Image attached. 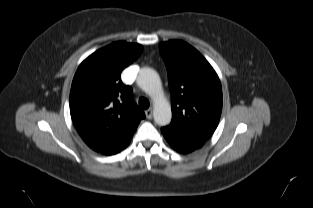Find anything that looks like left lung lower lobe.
Segmentation results:
<instances>
[{"label":"left lung lower lobe","instance_id":"1","mask_svg":"<svg viewBox=\"0 0 313 208\" xmlns=\"http://www.w3.org/2000/svg\"><path fill=\"white\" fill-rule=\"evenodd\" d=\"M165 139L168 141V143L178 152L180 153H189L192 152L198 148H200L202 145L200 144H194V143H190V142H186V141H182L180 139H177L175 137H173L172 135L166 133L165 131H163L161 129Z\"/></svg>","mask_w":313,"mask_h":208}]
</instances>
